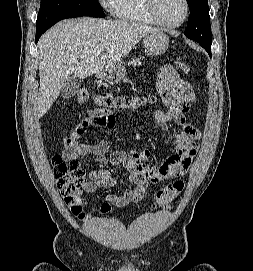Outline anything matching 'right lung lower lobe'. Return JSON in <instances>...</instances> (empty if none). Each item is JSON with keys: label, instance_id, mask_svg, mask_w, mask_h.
I'll use <instances>...</instances> for the list:
<instances>
[{"label": "right lung lower lobe", "instance_id": "obj_1", "mask_svg": "<svg viewBox=\"0 0 253 271\" xmlns=\"http://www.w3.org/2000/svg\"><path fill=\"white\" fill-rule=\"evenodd\" d=\"M45 31H39V32H36V37H35V41L38 42L40 36L44 33Z\"/></svg>", "mask_w": 253, "mask_h": 271}]
</instances>
